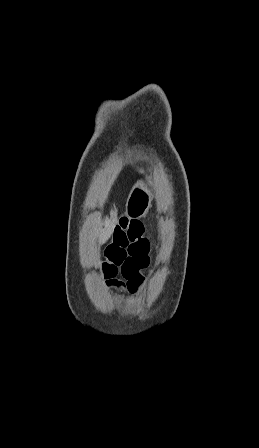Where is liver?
I'll return each instance as SVG.
<instances>
[{"label":"liver","instance_id":"6515ba94","mask_svg":"<svg viewBox=\"0 0 259 448\" xmlns=\"http://www.w3.org/2000/svg\"><path fill=\"white\" fill-rule=\"evenodd\" d=\"M116 224H118L117 210H112L110 218H105L103 224H101V222H96L92 234H94L95 238H98L99 244H105V242L111 238ZM99 226H101V228H99Z\"/></svg>","mask_w":259,"mask_h":448}]
</instances>
